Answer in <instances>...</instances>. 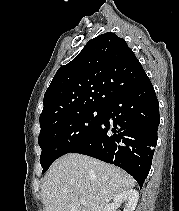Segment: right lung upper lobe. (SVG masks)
<instances>
[{
  "label": "right lung upper lobe",
  "instance_id": "right-lung-upper-lobe-1",
  "mask_svg": "<svg viewBox=\"0 0 179 211\" xmlns=\"http://www.w3.org/2000/svg\"><path fill=\"white\" fill-rule=\"evenodd\" d=\"M144 74L124 39L110 32L91 39L75 59L56 72L44 95L41 128L65 115L105 108Z\"/></svg>",
  "mask_w": 179,
  "mask_h": 211
}]
</instances>
